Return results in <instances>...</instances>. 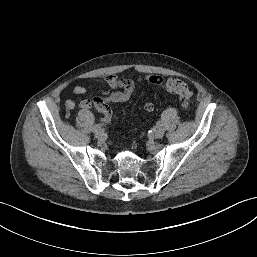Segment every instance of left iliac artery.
<instances>
[{"label": "left iliac artery", "mask_w": 257, "mask_h": 257, "mask_svg": "<svg viewBox=\"0 0 257 257\" xmlns=\"http://www.w3.org/2000/svg\"><path fill=\"white\" fill-rule=\"evenodd\" d=\"M160 126H162L161 121H157V123H156V127H160Z\"/></svg>", "instance_id": "44dca946"}]
</instances>
